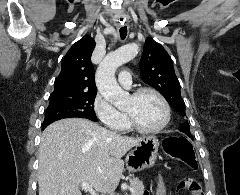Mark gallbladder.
<instances>
[{
  "mask_svg": "<svg viewBox=\"0 0 240 195\" xmlns=\"http://www.w3.org/2000/svg\"><path fill=\"white\" fill-rule=\"evenodd\" d=\"M83 195H90V193L89 192H84Z\"/></svg>",
  "mask_w": 240,
  "mask_h": 195,
  "instance_id": "1",
  "label": "gallbladder"
}]
</instances>
